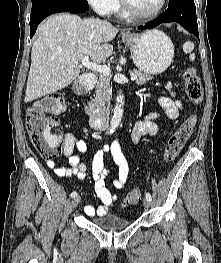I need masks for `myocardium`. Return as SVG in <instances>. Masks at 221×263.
<instances>
[{
    "mask_svg": "<svg viewBox=\"0 0 221 263\" xmlns=\"http://www.w3.org/2000/svg\"><path fill=\"white\" fill-rule=\"evenodd\" d=\"M166 3H167V0H161L159 6L156 9L150 12H142V11L135 9L130 4L129 0H121L122 7L128 15L135 17V18H141V19H148V18L155 17L156 15L162 12V10L166 6Z\"/></svg>",
    "mask_w": 221,
    "mask_h": 263,
    "instance_id": "1",
    "label": "myocardium"
}]
</instances>
